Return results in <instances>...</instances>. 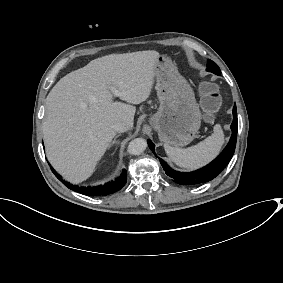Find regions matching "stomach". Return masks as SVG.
Wrapping results in <instances>:
<instances>
[{"label": "stomach", "instance_id": "stomach-1", "mask_svg": "<svg viewBox=\"0 0 283 283\" xmlns=\"http://www.w3.org/2000/svg\"><path fill=\"white\" fill-rule=\"evenodd\" d=\"M155 71L160 107L149 117V125L165 144L185 146L192 141L201 123L194 93L167 57L159 58Z\"/></svg>", "mask_w": 283, "mask_h": 283}]
</instances>
